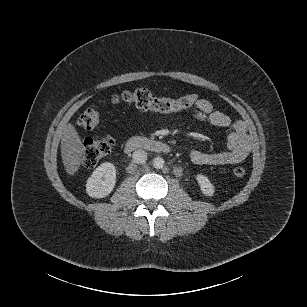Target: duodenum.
Returning a JSON list of instances; mask_svg holds the SVG:
<instances>
[{"label":"duodenum","instance_id":"410a0bca","mask_svg":"<svg viewBox=\"0 0 307 307\" xmlns=\"http://www.w3.org/2000/svg\"><path fill=\"white\" fill-rule=\"evenodd\" d=\"M136 149H145L154 153L162 154H167L171 151L168 144L145 137H133L125 144V151L127 152H131Z\"/></svg>","mask_w":307,"mask_h":307}]
</instances>
